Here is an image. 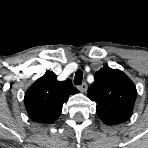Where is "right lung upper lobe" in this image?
<instances>
[{
	"label": "right lung upper lobe",
	"instance_id": "obj_1",
	"mask_svg": "<svg viewBox=\"0 0 148 148\" xmlns=\"http://www.w3.org/2000/svg\"><path fill=\"white\" fill-rule=\"evenodd\" d=\"M78 90L70 79L59 82L53 72H46L26 91L25 107L30 118L37 123H52L58 119L62 105Z\"/></svg>",
	"mask_w": 148,
	"mask_h": 148
}]
</instances>
